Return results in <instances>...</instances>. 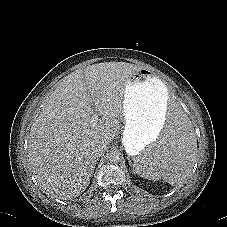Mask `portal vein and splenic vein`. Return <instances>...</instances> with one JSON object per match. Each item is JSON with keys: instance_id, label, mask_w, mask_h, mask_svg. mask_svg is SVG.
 <instances>
[{"instance_id": "obj_1", "label": "portal vein and splenic vein", "mask_w": 227, "mask_h": 227, "mask_svg": "<svg viewBox=\"0 0 227 227\" xmlns=\"http://www.w3.org/2000/svg\"><path fill=\"white\" fill-rule=\"evenodd\" d=\"M98 120H99L98 115H97V114H94V115L92 116L90 122H91L92 125H95V124L98 122Z\"/></svg>"}]
</instances>
